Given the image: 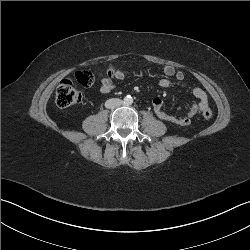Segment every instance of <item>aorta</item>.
<instances>
[{
  "instance_id": "obj_1",
  "label": "aorta",
  "mask_w": 250,
  "mask_h": 250,
  "mask_svg": "<svg viewBox=\"0 0 250 250\" xmlns=\"http://www.w3.org/2000/svg\"><path fill=\"white\" fill-rule=\"evenodd\" d=\"M125 105H131L133 103V98L130 95H127L123 100Z\"/></svg>"
}]
</instances>
